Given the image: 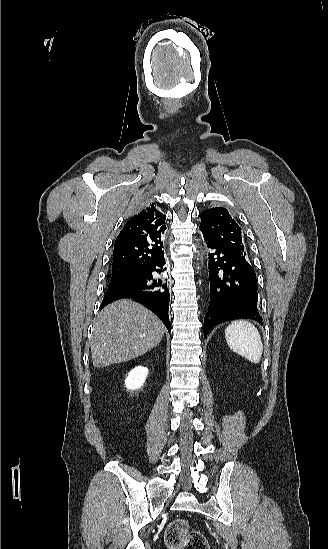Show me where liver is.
Listing matches in <instances>:
<instances>
[{"label": "liver", "mask_w": 328, "mask_h": 549, "mask_svg": "<svg viewBox=\"0 0 328 549\" xmlns=\"http://www.w3.org/2000/svg\"><path fill=\"white\" fill-rule=\"evenodd\" d=\"M164 329L162 321L140 303L131 299L114 301L94 321L93 367H108L141 357L161 343Z\"/></svg>", "instance_id": "1"}]
</instances>
